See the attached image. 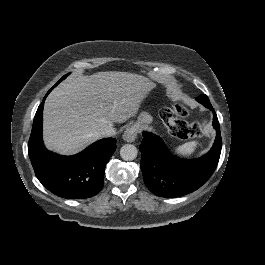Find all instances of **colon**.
<instances>
[{
    "label": "colon",
    "instance_id": "5ec220e1",
    "mask_svg": "<svg viewBox=\"0 0 265 265\" xmlns=\"http://www.w3.org/2000/svg\"><path fill=\"white\" fill-rule=\"evenodd\" d=\"M186 115L187 110L181 104H176L173 107L165 108L161 112V118L166 124L167 128L174 136L178 138L186 139L206 133V127L204 123H187L185 121Z\"/></svg>",
    "mask_w": 265,
    "mask_h": 265
}]
</instances>
